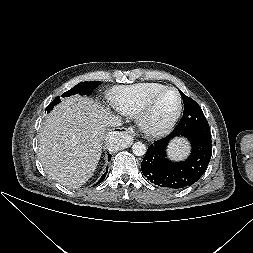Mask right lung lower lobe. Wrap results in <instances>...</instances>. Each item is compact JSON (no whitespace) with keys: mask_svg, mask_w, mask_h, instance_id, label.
Wrapping results in <instances>:
<instances>
[{"mask_svg":"<svg viewBox=\"0 0 253 253\" xmlns=\"http://www.w3.org/2000/svg\"><path fill=\"white\" fill-rule=\"evenodd\" d=\"M111 158V155H109V160ZM107 171L102 175V177L100 178V180L94 185L97 186L98 184H100L106 177Z\"/></svg>","mask_w":253,"mask_h":253,"instance_id":"right-lung-lower-lobe-1","label":"right lung lower lobe"}]
</instances>
